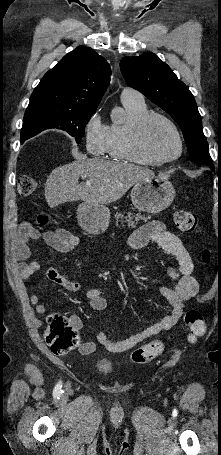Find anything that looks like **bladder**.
<instances>
[{
	"label": "bladder",
	"mask_w": 221,
	"mask_h": 455,
	"mask_svg": "<svg viewBox=\"0 0 221 455\" xmlns=\"http://www.w3.org/2000/svg\"><path fill=\"white\" fill-rule=\"evenodd\" d=\"M96 369L102 374H107L112 371L113 365L109 360L101 359L97 362Z\"/></svg>",
	"instance_id": "bladder-1"
}]
</instances>
